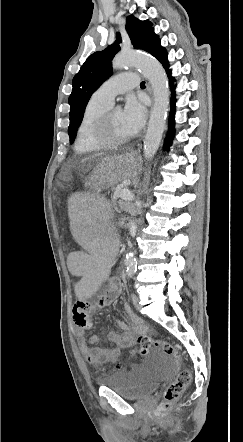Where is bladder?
<instances>
[{
    "mask_svg": "<svg viewBox=\"0 0 243 442\" xmlns=\"http://www.w3.org/2000/svg\"><path fill=\"white\" fill-rule=\"evenodd\" d=\"M176 362L167 355L154 353L144 362L128 370L116 371L100 379V384L128 400H140L154 393L171 379Z\"/></svg>",
    "mask_w": 243,
    "mask_h": 442,
    "instance_id": "bladder-1",
    "label": "bladder"
}]
</instances>
